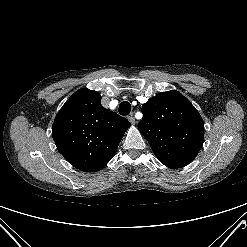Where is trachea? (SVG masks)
<instances>
[{
    "mask_svg": "<svg viewBox=\"0 0 247 247\" xmlns=\"http://www.w3.org/2000/svg\"><path fill=\"white\" fill-rule=\"evenodd\" d=\"M119 113L123 116L129 115L131 111V104L128 101H123L119 105Z\"/></svg>",
    "mask_w": 247,
    "mask_h": 247,
    "instance_id": "obj_1",
    "label": "trachea"
}]
</instances>
